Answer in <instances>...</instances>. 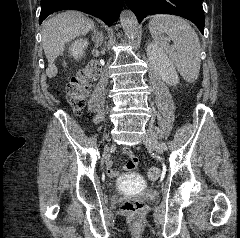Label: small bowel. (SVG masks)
<instances>
[{
    "instance_id": "obj_1",
    "label": "small bowel",
    "mask_w": 240,
    "mask_h": 238,
    "mask_svg": "<svg viewBox=\"0 0 240 238\" xmlns=\"http://www.w3.org/2000/svg\"><path fill=\"white\" fill-rule=\"evenodd\" d=\"M121 152L122 154H125L126 156H129V159H126V164L124 165L125 169H128L129 171H132L133 174L137 173V167L139 166L140 160H139V156H135V151H130L128 148L130 147L129 143H121L120 144ZM107 168V174L108 175H118L119 173L121 174L122 172L116 170L115 168L113 170H111L113 168V165L108 163L106 165ZM112 184L116 183L115 179L111 180Z\"/></svg>"
}]
</instances>
